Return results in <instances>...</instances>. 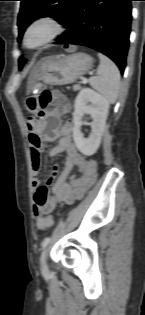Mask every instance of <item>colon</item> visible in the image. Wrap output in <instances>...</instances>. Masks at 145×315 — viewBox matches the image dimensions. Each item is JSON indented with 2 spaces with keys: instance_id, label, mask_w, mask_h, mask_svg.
<instances>
[{
  "instance_id": "obj_1",
  "label": "colon",
  "mask_w": 145,
  "mask_h": 315,
  "mask_svg": "<svg viewBox=\"0 0 145 315\" xmlns=\"http://www.w3.org/2000/svg\"><path fill=\"white\" fill-rule=\"evenodd\" d=\"M67 50H71L70 46H66ZM39 115H44L48 112H63L68 109L66 98L56 91H45L39 97ZM38 227L41 230L50 228L53 224V217L50 215L43 216L38 222Z\"/></svg>"
}]
</instances>
